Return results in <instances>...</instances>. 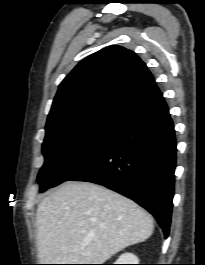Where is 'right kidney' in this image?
I'll use <instances>...</instances> for the list:
<instances>
[{
    "label": "right kidney",
    "instance_id": "obj_1",
    "mask_svg": "<svg viewBox=\"0 0 205 265\" xmlns=\"http://www.w3.org/2000/svg\"><path fill=\"white\" fill-rule=\"evenodd\" d=\"M115 264H139V259L132 253L122 254Z\"/></svg>",
    "mask_w": 205,
    "mask_h": 265
}]
</instances>
